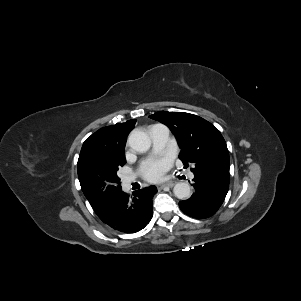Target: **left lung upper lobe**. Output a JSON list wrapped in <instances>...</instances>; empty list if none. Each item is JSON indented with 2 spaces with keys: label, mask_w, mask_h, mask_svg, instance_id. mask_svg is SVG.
Returning <instances> with one entry per match:
<instances>
[{
  "label": "left lung upper lobe",
  "mask_w": 301,
  "mask_h": 301,
  "mask_svg": "<svg viewBox=\"0 0 301 301\" xmlns=\"http://www.w3.org/2000/svg\"><path fill=\"white\" fill-rule=\"evenodd\" d=\"M167 125L181 148L183 164H193L195 175H206L229 184V153L219 130L203 118L184 112L160 111L151 116Z\"/></svg>",
  "instance_id": "obj_1"
}]
</instances>
